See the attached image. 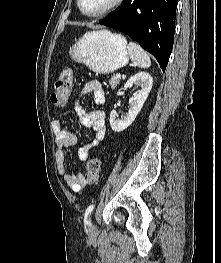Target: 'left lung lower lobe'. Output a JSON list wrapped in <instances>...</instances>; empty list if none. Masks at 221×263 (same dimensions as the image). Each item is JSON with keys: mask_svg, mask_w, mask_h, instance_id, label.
Returning a JSON list of instances; mask_svg holds the SVG:
<instances>
[{"mask_svg": "<svg viewBox=\"0 0 221 263\" xmlns=\"http://www.w3.org/2000/svg\"><path fill=\"white\" fill-rule=\"evenodd\" d=\"M178 0H123L99 21L128 35L154 55L165 71L172 52Z\"/></svg>", "mask_w": 221, "mask_h": 263, "instance_id": "0a47b994", "label": "left lung lower lobe"}]
</instances>
